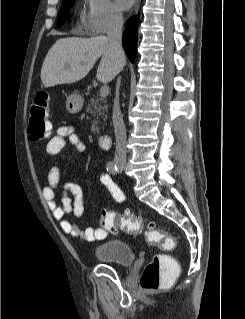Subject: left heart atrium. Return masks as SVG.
Listing matches in <instances>:
<instances>
[{
    "label": "left heart atrium",
    "instance_id": "obj_1",
    "mask_svg": "<svg viewBox=\"0 0 245 319\" xmlns=\"http://www.w3.org/2000/svg\"><path fill=\"white\" fill-rule=\"evenodd\" d=\"M134 3V0H117L118 6L123 9L127 10L129 9Z\"/></svg>",
    "mask_w": 245,
    "mask_h": 319
}]
</instances>
